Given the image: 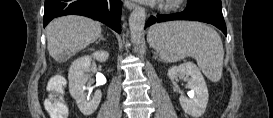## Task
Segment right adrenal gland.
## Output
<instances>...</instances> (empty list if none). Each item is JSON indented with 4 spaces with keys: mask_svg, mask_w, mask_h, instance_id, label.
Returning <instances> with one entry per match:
<instances>
[{
    "mask_svg": "<svg viewBox=\"0 0 273 118\" xmlns=\"http://www.w3.org/2000/svg\"><path fill=\"white\" fill-rule=\"evenodd\" d=\"M101 40H105V39L103 38V35H101V36L99 37V40L97 41V43L100 42Z\"/></svg>",
    "mask_w": 273,
    "mask_h": 118,
    "instance_id": "obj_1",
    "label": "right adrenal gland"
}]
</instances>
